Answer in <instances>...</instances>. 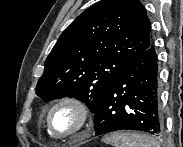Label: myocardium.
I'll use <instances>...</instances> for the list:
<instances>
[{
    "label": "myocardium",
    "instance_id": "obj_1",
    "mask_svg": "<svg viewBox=\"0 0 183 147\" xmlns=\"http://www.w3.org/2000/svg\"><path fill=\"white\" fill-rule=\"evenodd\" d=\"M66 104L73 106L79 112L80 124L72 132L65 133V134H58L54 131L52 127L51 115H52V112L57 107L61 105H66ZM90 121H91V110L89 105L84 100L74 96H65L58 99L49 107L46 114V124H47L48 131L54 138H57V139H67L81 133L89 126Z\"/></svg>",
    "mask_w": 183,
    "mask_h": 147
}]
</instances>
